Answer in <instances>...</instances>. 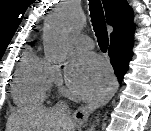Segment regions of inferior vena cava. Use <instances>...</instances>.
<instances>
[{
	"mask_svg": "<svg viewBox=\"0 0 151 131\" xmlns=\"http://www.w3.org/2000/svg\"><path fill=\"white\" fill-rule=\"evenodd\" d=\"M56 107H59L63 111L67 110V105L64 102H59ZM65 118L72 126H74L68 113H65Z\"/></svg>",
	"mask_w": 151,
	"mask_h": 131,
	"instance_id": "obj_1",
	"label": "inferior vena cava"
}]
</instances>
